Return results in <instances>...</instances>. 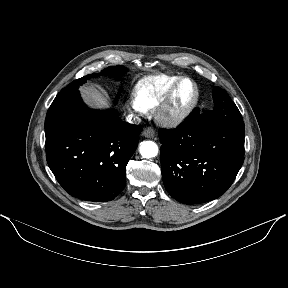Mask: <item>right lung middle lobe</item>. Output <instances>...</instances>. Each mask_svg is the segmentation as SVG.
<instances>
[{"label":"right lung middle lobe","mask_w":288,"mask_h":288,"mask_svg":"<svg viewBox=\"0 0 288 288\" xmlns=\"http://www.w3.org/2000/svg\"><path fill=\"white\" fill-rule=\"evenodd\" d=\"M125 71H126V69L123 66L117 65L115 67H108V68L102 70L100 74H89V75H86V76H84V77H82L80 79H77V80L71 82L64 89H62L57 94V96L54 99V101L58 100L59 98L67 95L68 93H70V92H72L74 90H78L79 85L84 84L86 82V80H88V79H90L92 77H98V76H102V75H110L112 77H120ZM118 98H119V95L115 99V104H117Z\"/></svg>","instance_id":"right-lung-middle-lobe-1"}]
</instances>
